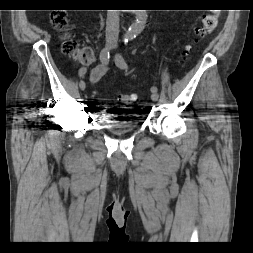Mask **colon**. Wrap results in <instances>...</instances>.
<instances>
[{
	"label": "colon",
	"instance_id": "5ec220e1",
	"mask_svg": "<svg viewBox=\"0 0 253 253\" xmlns=\"http://www.w3.org/2000/svg\"><path fill=\"white\" fill-rule=\"evenodd\" d=\"M218 24V14H208L203 18L202 25L197 29L196 37L189 42L183 49L182 57L186 58L192 48L211 34ZM52 25L58 31H65L68 27L66 15L62 12H57L52 15ZM63 52L66 55L72 56L82 64H87L92 60V52L88 48L79 47L73 40H65L63 43ZM137 94L119 93L118 101L123 104H131L137 100Z\"/></svg>",
	"mask_w": 253,
	"mask_h": 253
}]
</instances>
